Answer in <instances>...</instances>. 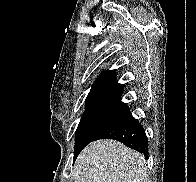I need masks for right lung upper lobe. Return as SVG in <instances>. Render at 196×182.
Here are the masks:
<instances>
[{
    "instance_id": "right-lung-upper-lobe-1",
    "label": "right lung upper lobe",
    "mask_w": 196,
    "mask_h": 182,
    "mask_svg": "<svg viewBox=\"0 0 196 182\" xmlns=\"http://www.w3.org/2000/svg\"><path fill=\"white\" fill-rule=\"evenodd\" d=\"M123 86L116 82L115 70L101 74L87 96L86 107L96 104L126 105L121 101Z\"/></svg>"
}]
</instances>
